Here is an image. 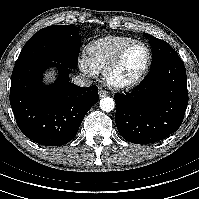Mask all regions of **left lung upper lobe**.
Instances as JSON below:
<instances>
[{"mask_svg":"<svg viewBox=\"0 0 199 199\" xmlns=\"http://www.w3.org/2000/svg\"><path fill=\"white\" fill-rule=\"evenodd\" d=\"M144 36L150 39V45L152 47V64L159 63L160 61L178 55L176 51L165 41L158 39L150 34L144 33Z\"/></svg>","mask_w":199,"mask_h":199,"instance_id":"obj_1","label":"left lung upper lobe"}]
</instances>
